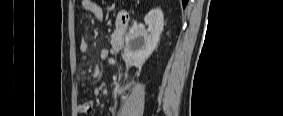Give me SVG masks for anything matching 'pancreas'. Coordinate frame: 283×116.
<instances>
[{
  "label": "pancreas",
  "instance_id": "pancreas-1",
  "mask_svg": "<svg viewBox=\"0 0 283 116\" xmlns=\"http://www.w3.org/2000/svg\"><path fill=\"white\" fill-rule=\"evenodd\" d=\"M114 37H115V33H114V34H112L111 38L113 39Z\"/></svg>",
  "mask_w": 283,
  "mask_h": 116
}]
</instances>
